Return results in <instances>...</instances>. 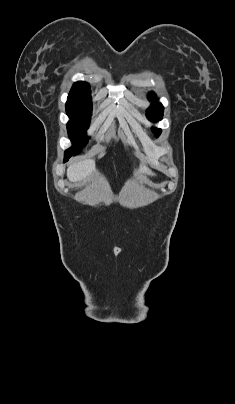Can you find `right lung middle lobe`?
Wrapping results in <instances>:
<instances>
[{
    "label": "right lung middle lobe",
    "mask_w": 235,
    "mask_h": 404,
    "mask_svg": "<svg viewBox=\"0 0 235 404\" xmlns=\"http://www.w3.org/2000/svg\"><path fill=\"white\" fill-rule=\"evenodd\" d=\"M66 112L71 119L67 124L68 135L73 146L66 150L65 157L77 155L87 144L86 131L92 113L91 103H66Z\"/></svg>",
    "instance_id": "dd1d6c3e"
}]
</instances>
